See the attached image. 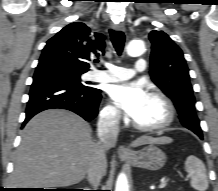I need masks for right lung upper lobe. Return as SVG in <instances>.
I'll list each match as a JSON object with an SVG mask.
<instances>
[{
	"instance_id": "right-lung-upper-lobe-1",
	"label": "right lung upper lobe",
	"mask_w": 218,
	"mask_h": 191,
	"mask_svg": "<svg viewBox=\"0 0 218 191\" xmlns=\"http://www.w3.org/2000/svg\"><path fill=\"white\" fill-rule=\"evenodd\" d=\"M105 37L81 22L64 27L47 41L41 56H54L81 71H88L87 61L104 52Z\"/></svg>"
}]
</instances>
